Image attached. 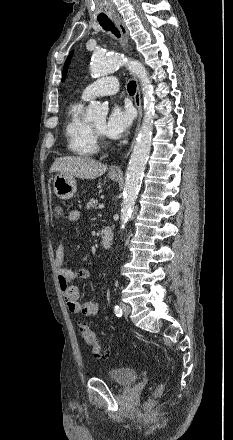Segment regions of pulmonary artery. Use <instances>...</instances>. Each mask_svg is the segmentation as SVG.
<instances>
[{
	"label": "pulmonary artery",
	"mask_w": 233,
	"mask_h": 440,
	"mask_svg": "<svg viewBox=\"0 0 233 440\" xmlns=\"http://www.w3.org/2000/svg\"><path fill=\"white\" fill-rule=\"evenodd\" d=\"M119 90V80L115 76L100 78L89 84L82 92L81 98L89 100L94 97L113 95Z\"/></svg>",
	"instance_id": "1"
}]
</instances>
